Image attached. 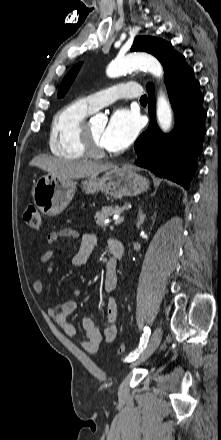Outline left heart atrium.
Listing matches in <instances>:
<instances>
[{"label": "left heart atrium", "mask_w": 221, "mask_h": 440, "mask_svg": "<svg viewBox=\"0 0 221 440\" xmlns=\"http://www.w3.org/2000/svg\"><path fill=\"white\" fill-rule=\"evenodd\" d=\"M140 126L137 113L126 108L117 109L102 134L103 146L113 151L126 148L138 135Z\"/></svg>", "instance_id": "left-heart-atrium-1"}]
</instances>
